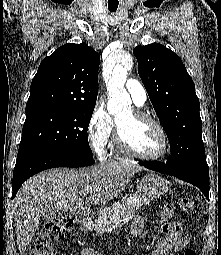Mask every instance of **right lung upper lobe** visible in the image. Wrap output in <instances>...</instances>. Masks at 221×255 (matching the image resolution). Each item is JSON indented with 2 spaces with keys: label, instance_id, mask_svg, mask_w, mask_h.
Listing matches in <instances>:
<instances>
[{
  "label": "right lung upper lobe",
  "instance_id": "cb5924a9",
  "mask_svg": "<svg viewBox=\"0 0 221 255\" xmlns=\"http://www.w3.org/2000/svg\"><path fill=\"white\" fill-rule=\"evenodd\" d=\"M100 56L86 44L68 43L40 64L26 112L41 108L95 106Z\"/></svg>",
  "mask_w": 221,
  "mask_h": 255
}]
</instances>
